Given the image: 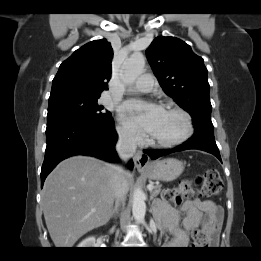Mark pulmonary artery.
<instances>
[{"label":"pulmonary artery","instance_id":"pulmonary-artery-1","mask_svg":"<svg viewBox=\"0 0 261 261\" xmlns=\"http://www.w3.org/2000/svg\"><path fill=\"white\" fill-rule=\"evenodd\" d=\"M154 86V78L151 74H142L135 83L130 87L131 91L147 93L152 90Z\"/></svg>","mask_w":261,"mask_h":261}]
</instances>
